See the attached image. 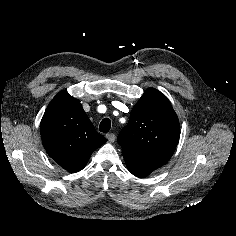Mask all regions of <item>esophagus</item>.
Segmentation results:
<instances>
[{
  "instance_id": "esophagus-1",
  "label": "esophagus",
  "mask_w": 236,
  "mask_h": 236,
  "mask_svg": "<svg viewBox=\"0 0 236 236\" xmlns=\"http://www.w3.org/2000/svg\"><path fill=\"white\" fill-rule=\"evenodd\" d=\"M106 138L108 139V141L110 143H113L115 141V139H116V136H115L114 133H109V134L106 135Z\"/></svg>"
}]
</instances>
